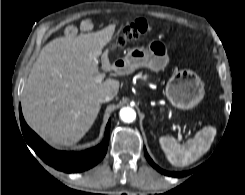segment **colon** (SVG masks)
<instances>
[{
	"label": "colon",
	"mask_w": 245,
	"mask_h": 195,
	"mask_svg": "<svg viewBox=\"0 0 245 195\" xmlns=\"http://www.w3.org/2000/svg\"><path fill=\"white\" fill-rule=\"evenodd\" d=\"M148 31V24L143 19H137L131 24L127 25L117 37L113 44L114 49L124 47L128 42L139 38Z\"/></svg>",
	"instance_id": "5ec220e1"
}]
</instances>
